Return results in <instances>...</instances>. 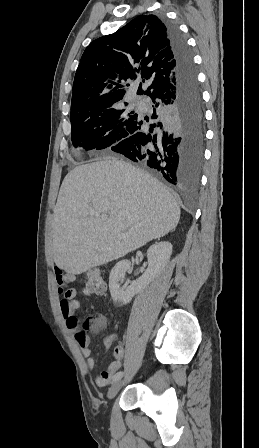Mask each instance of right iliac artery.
<instances>
[{
  "label": "right iliac artery",
  "instance_id": "obj_1",
  "mask_svg": "<svg viewBox=\"0 0 259 448\" xmlns=\"http://www.w3.org/2000/svg\"><path fill=\"white\" fill-rule=\"evenodd\" d=\"M123 376V372L119 371L117 372L113 377V382L118 381Z\"/></svg>",
  "mask_w": 259,
  "mask_h": 448
}]
</instances>
